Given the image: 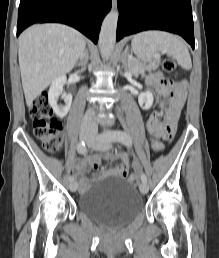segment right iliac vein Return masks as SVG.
<instances>
[{"label": "right iliac vein", "instance_id": "1", "mask_svg": "<svg viewBox=\"0 0 219 258\" xmlns=\"http://www.w3.org/2000/svg\"><path fill=\"white\" fill-rule=\"evenodd\" d=\"M81 139L84 140V141H88L91 136L89 133L87 132H82L81 135H80ZM69 189L72 191V192H75L77 190V183L76 182H70L69 183Z\"/></svg>", "mask_w": 219, "mask_h": 258}]
</instances>
